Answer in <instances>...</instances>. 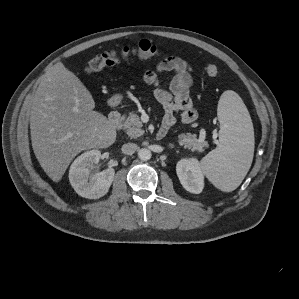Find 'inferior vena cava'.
Returning <instances> with one entry per match:
<instances>
[{"label":"inferior vena cava","instance_id":"obj_1","mask_svg":"<svg viewBox=\"0 0 299 299\" xmlns=\"http://www.w3.org/2000/svg\"><path fill=\"white\" fill-rule=\"evenodd\" d=\"M137 148L138 146L135 143H126L122 146L121 150L126 155H132Z\"/></svg>","mask_w":299,"mask_h":299}]
</instances>
